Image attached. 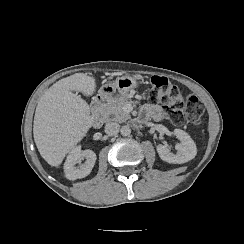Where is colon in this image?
Here are the masks:
<instances>
[{
	"label": "colon",
	"instance_id": "5ec220e1",
	"mask_svg": "<svg viewBox=\"0 0 244 244\" xmlns=\"http://www.w3.org/2000/svg\"><path fill=\"white\" fill-rule=\"evenodd\" d=\"M148 101L152 104H163L175 125L183 122V115L189 122L197 124L204 113L203 103L197 96L187 95L182 99L178 87L166 77L158 75L151 79Z\"/></svg>",
	"mask_w": 244,
	"mask_h": 244
}]
</instances>
